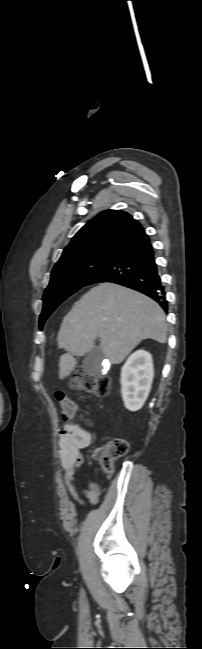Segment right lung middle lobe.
I'll use <instances>...</instances> for the list:
<instances>
[{"mask_svg": "<svg viewBox=\"0 0 202 649\" xmlns=\"http://www.w3.org/2000/svg\"><path fill=\"white\" fill-rule=\"evenodd\" d=\"M114 255L111 252L92 251L59 260L43 295L40 329L50 314L69 296L84 287L92 275Z\"/></svg>", "mask_w": 202, "mask_h": 649, "instance_id": "right-lung-middle-lobe-1", "label": "right lung middle lobe"}]
</instances>
